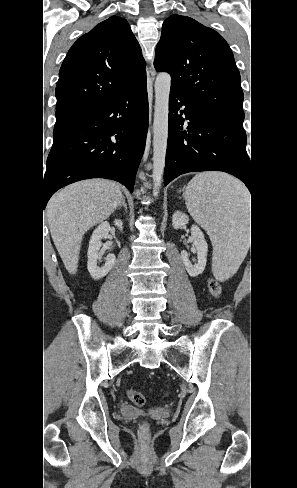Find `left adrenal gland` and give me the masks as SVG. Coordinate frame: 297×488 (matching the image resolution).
<instances>
[{
	"mask_svg": "<svg viewBox=\"0 0 297 488\" xmlns=\"http://www.w3.org/2000/svg\"><path fill=\"white\" fill-rule=\"evenodd\" d=\"M180 192H183L184 193V189L180 190Z\"/></svg>",
	"mask_w": 297,
	"mask_h": 488,
	"instance_id": "obj_1",
	"label": "left adrenal gland"
}]
</instances>
